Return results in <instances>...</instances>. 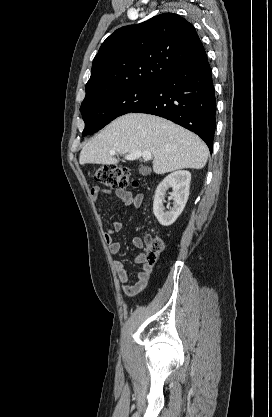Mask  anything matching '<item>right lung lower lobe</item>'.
I'll return each mask as SVG.
<instances>
[{"mask_svg": "<svg viewBox=\"0 0 272 417\" xmlns=\"http://www.w3.org/2000/svg\"><path fill=\"white\" fill-rule=\"evenodd\" d=\"M132 112L171 120L196 133L212 152L216 100L206 52L168 74L151 98Z\"/></svg>", "mask_w": 272, "mask_h": 417, "instance_id": "1", "label": "right lung lower lobe"}]
</instances>
